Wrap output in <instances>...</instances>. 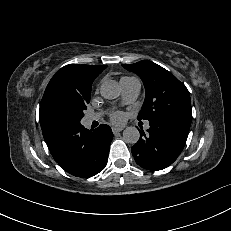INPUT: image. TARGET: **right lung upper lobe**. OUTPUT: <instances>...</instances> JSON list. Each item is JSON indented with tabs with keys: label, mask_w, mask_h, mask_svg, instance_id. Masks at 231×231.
I'll use <instances>...</instances> for the list:
<instances>
[{
	"label": "right lung upper lobe",
	"mask_w": 231,
	"mask_h": 231,
	"mask_svg": "<svg viewBox=\"0 0 231 231\" xmlns=\"http://www.w3.org/2000/svg\"><path fill=\"white\" fill-rule=\"evenodd\" d=\"M106 67L107 65L69 64L52 77L44 92L39 110L42 133L47 143L52 142L65 128L52 121L46 113V102L50 96L55 92L63 91L90 98L92 82Z\"/></svg>",
	"instance_id": "cb5924a9"
}]
</instances>
